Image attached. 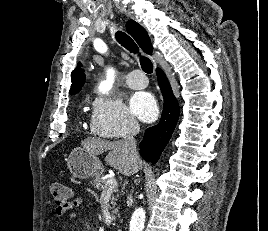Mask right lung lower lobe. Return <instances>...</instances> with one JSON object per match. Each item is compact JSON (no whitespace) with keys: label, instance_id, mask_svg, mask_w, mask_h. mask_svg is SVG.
Wrapping results in <instances>:
<instances>
[{"label":"right lung lower lobe","instance_id":"1","mask_svg":"<svg viewBox=\"0 0 268 231\" xmlns=\"http://www.w3.org/2000/svg\"><path fill=\"white\" fill-rule=\"evenodd\" d=\"M158 83L164 98V107L160 122L145 131L140 144V153L147 162L155 164L176 127L179 118V105L171 86L159 68L156 69Z\"/></svg>","mask_w":268,"mask_h":231}]
</instances>
